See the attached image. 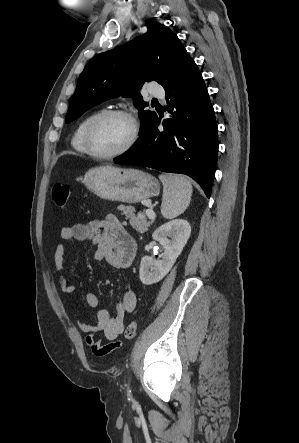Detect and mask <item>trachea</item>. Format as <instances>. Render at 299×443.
Returning a JSON list of instances; mask_svg holds the SVG:
<instances>
[{
  "label": "trachea",
  "instance_id": "trachea-1",
  "mask_svg": "<svg viewBox=\"0 0 299 443\" xmlns=\"http://www.w3.org/2000/svg\"><path fill=\"white\" fill-rule=\"evenodd\" d=\"M152 102H157V99H153Z\"/></svg>",
  "mask_w": 299,
  "mask_h": 443
}]
</instances>
